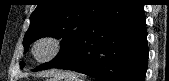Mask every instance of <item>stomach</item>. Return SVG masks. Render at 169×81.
<instances>
[{
  "label": "stomach",
  "mask_w": 169,
  "mask_h": 81,
  "mask_svg": "<svg viewBox=\"0 0 169 81\" xmlns=\"http://www.w3.org/2000/svg\"><path fill=\"white\" fill-rule=\"evenodd\" d=\"M46 81H69V80L63 76H54L47 79Z\"/></svg>",
  "instance_id": "stomach-1"
}]
</instances>
